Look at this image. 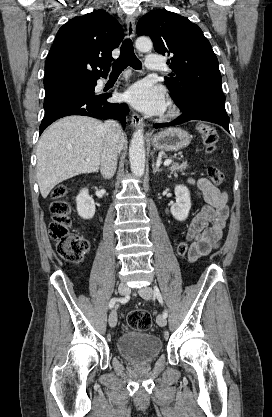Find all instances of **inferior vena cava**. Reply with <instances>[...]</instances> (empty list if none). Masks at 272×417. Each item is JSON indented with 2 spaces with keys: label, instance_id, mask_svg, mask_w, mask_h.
I'll return each instance as SVG.
<instances>
[{
  "label": "inferior vena cava",
  "instance_id": "obj_1",
  "mask_svg": "<svg viewBox=\"0 0 272 417\" xmlns=\"http://www.w3.org/2000/svg\"><path fill=\"white\" fill-rule=\"evenodd\" d=\"M101 129L103 131V149L100 171L104 178L110 179L116 172L120 138L123 133L120 124L114 120L106 121Z\"/></svg>",
  "mask_w": 272,
  "mask_h": 417
}]
</instances>
